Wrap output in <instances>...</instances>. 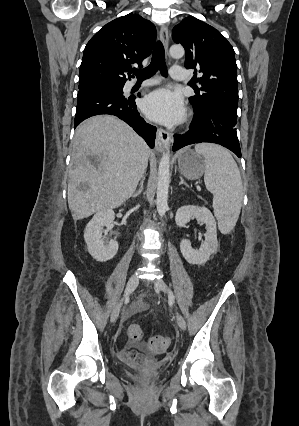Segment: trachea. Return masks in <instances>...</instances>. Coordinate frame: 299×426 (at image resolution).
Returning <instances> with one entry per match:
<instances>
[{
  "mask_svg": "<svg viewBox=\"0 0 299 426\" xmlns=\"http://www.w3.org/2000/svg\"><path fill=\"white\" fill-rule=\"evenodd\" d=\"M158 69L161 72H163V74H166L165 51H164L163 44L160 41H158L155 44L153 57H152L150 65L144 69L134 70L133 73L136 75L138 80H144L146 78L151 77L153 74H155L156 70Z\"/></svg>",
  "mask_w": 299,
  "mask_h": 426,
  "instance_id": "1",
  "label": "trachea"
}]
</instances>
